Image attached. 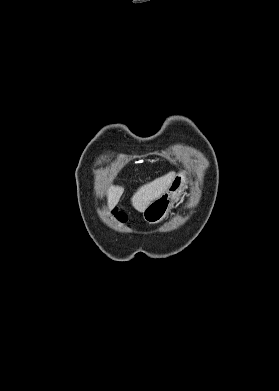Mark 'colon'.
Instances as JSON below:
<instances>
[{
    "instance_id": "obj_1",
    "label": "colon",
    "mask_w": 279,
    "mask_h": 391,
    "mask_svg": "<svg viewBox=\"0 0 279 391\" xmlns=\"http://www.w3.org/2000/svg\"><path fill=\"white\" fill-rule=\"evenodd\" d=\"M117 218H118L120 221H122V222H124V221L126 220V217H125V215H124L123 213H118V214H117Z\"/></svg>"
}]
</instances>
